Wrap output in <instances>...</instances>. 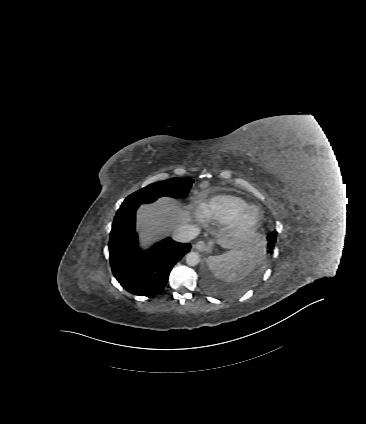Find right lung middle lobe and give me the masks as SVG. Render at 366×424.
Segmentation results:
<instances>
[{
  "mask_svg": "<svg viewBox=\"0 0 366 424\" xmlns=\"http://www.w3.org/2000/svg\"><path fill=\"white\" fill-rule=\"evenodd\" d=\"M193 183L192 179L171 178L150 184L129 195L120 208L139 206L142 203H151L161 196L185 197Z\"/></svg>",
  "mask_w": 366,
  "mask_h": 424,
  "instance_id": "1",
  "label": "right lung middle lobe"
}]
</instances>
